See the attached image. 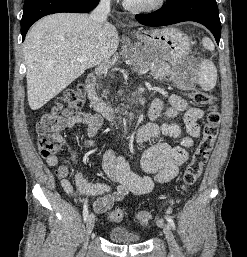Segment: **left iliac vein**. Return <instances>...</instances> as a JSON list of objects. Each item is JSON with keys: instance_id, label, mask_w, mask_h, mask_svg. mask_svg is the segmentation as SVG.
Listing matches in <instances>:
<instances>
[{"instance_id": "1", "label": "left iliac vein", "mask_w": 247, "mask_h": 257, "mask_svg": "<svg viewBox=\"0 0 247 257\" xmlns=\"http://www.w3.org/2000/svg\"><path fill=\"white\" fill-rule=\"evenodd\" d=\"M163 232L165 234V237L167 239V243L169 246V249L172 254L179 255V247L176 243V240L174 238L173 232L168 224H165L163 227Z\"/></svg>"}]
</instances>
